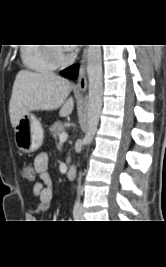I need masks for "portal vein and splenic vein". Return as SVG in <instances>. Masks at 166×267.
<instances>
[{
	"label": "portal vein and splenic vein",
	"mask_w": 166,
	"mask_h": 267,
	"mask_svg": "<svg viewBox=\"0 0 166 267\" xmlns=\"http://www.w3.org/2000/svg\"><path fill=\"white\" fill-rule=\"evenodd\" d=\"M68 138V134L66 132H62L59 134V141L60 142H65Z\"/></svg>",
	"instance_id": "1"
}]
</instances>
